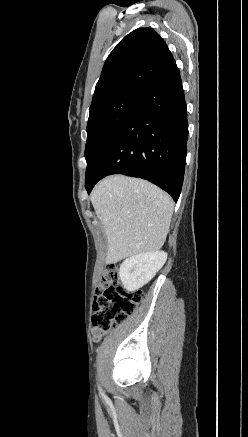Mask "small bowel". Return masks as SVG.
Segmentation results:
<instances>
[{
	"label": "small bowel",
	"mask_w": 248,
	"mask_h": 437,
	"mask_svg": "<svg viewBox=\"0 0 248 437\" xmlns=\"http://www.w3.org/2000/svg\"><path fill=\"white\" fill-rule=\"evenodd\" d=\"M104 333L105 331L102 329H98L95 327L92 329V334L96 340L100 339L104 335Z\"/></svg>",
	"instance_id": "1"
}]
</instances>
